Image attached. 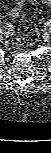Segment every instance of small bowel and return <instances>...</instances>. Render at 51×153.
<instances>
[{"label": "small bowel", "instance_id": "1", "mask_svg": "<svg viewBox=\"0 0 51 153\" xmlns=\"http://www.w3.org/2000/svg\"><path fill=\"white\" fill-rule=\"evenodd\" d=\"M27 0H15V6L14 8L11 10L10 12V16L11 17H16L18 16V14L21 11V8L23 7V5L25 4ZM29 2H31L32 4L36 5V4H49L51 3V0H28Z\"/></svg>", "mask_w": 51, "mask_h": 153}]
</instances>
